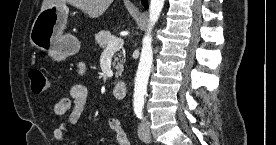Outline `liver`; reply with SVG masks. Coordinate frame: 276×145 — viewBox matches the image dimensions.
I'll use <instances>...</instances> for the list:
<instances>
[{
  "label": "liver",
  "instance_id": "liver-1",
  "mask_svg": "<svg viewBox=\"0 0 276 145\" xmlns=\"http://www.w3.org/2000/svg\"><path fill=\"white\" fill-rule=\"evenodd\" d=\"M112 2L113 0H43L41 10L53 4L68 3L83 11L90 18H98L108 9Z\"/></svg>",
  "mask_w": 276,
  "mask_h": 145
}]
</instances>
